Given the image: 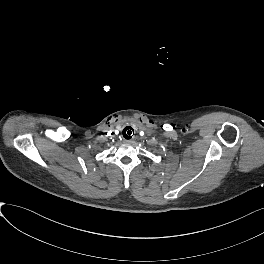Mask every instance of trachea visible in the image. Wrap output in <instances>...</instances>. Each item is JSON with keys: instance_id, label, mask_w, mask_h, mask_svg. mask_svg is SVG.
Wrapping results in <instances>:
<instances>
[{"instance_id": "1", "label": "trachea", "mask_w": 264, "mask_h": 264, "mask_svg": "<svg viewBox=\"0 0 264 264\" xmlns=\"http://www.w3.org/2000/svg\"><path fill=\"white\" fill-rule=\"evenodd\" d=\"M133 135H134V129L131 126H126L123 129V137L125 139H131Z\"/></svg>"}]
</instances>
